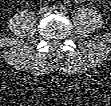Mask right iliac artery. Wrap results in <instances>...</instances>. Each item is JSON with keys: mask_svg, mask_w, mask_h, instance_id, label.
Here are the masks:
<instances>
[{"mask_svg": "<svg viewBox=\"0 0 111 106\" xmlns=\"http://www.w3.org/2000/svg\"><path fill=\"white\" fill-rule=\"evenodd\" d=\"M58 7L56 5H51L49 7V10L53 11V10H56Z\"/></svg>", "mask_w": 111, "mask_h": 106, "instance_id": "obj_1", "label": "right iliac artery"}]
</instances>
